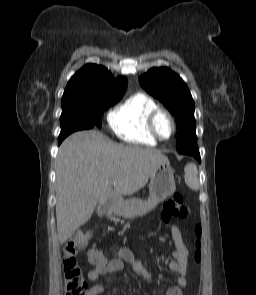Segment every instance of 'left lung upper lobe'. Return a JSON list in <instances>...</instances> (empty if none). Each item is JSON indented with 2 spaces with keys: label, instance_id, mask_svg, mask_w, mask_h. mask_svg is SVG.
<instances>
[{
  "label": "left lung upper lobe",
  "instance_id": "left-lung-upper-lobe-1",
  "mask_svg": "<svg viewBox=\"0 0 256 295\" xmlns=\"http://www.w3.org/2000/svg\"><path fill=\"white\" fill-rule=\"evenodd\" d=\"M141 86L159 99L175 115L178 140L176 149L186 154L198 148L195 133L194 101L184 81L166 67L152 68L139 78Z\"/></svg>",
  "mask_w": 256,
  "mask_h": 295
}]
</instances>
